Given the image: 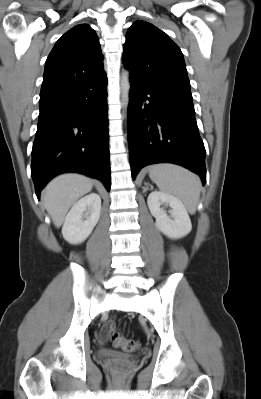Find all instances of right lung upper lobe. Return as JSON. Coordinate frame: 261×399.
<instances>
[{"label":"right lung upper lobe","instance_id":"cb5924a9","mask_svg":"<svg viewBox=\"0 0 261 399\" xmlns=\"http://www.w3.org/2000/svg\"><path fill=\"white\" fill-rule=\"evenodd\" d=\"M105 75L95 31L80 24L66 32L49 54L40 98L51 96Z\"/></svg>","mask_w":261,"mask_h":399}]
</instances>
